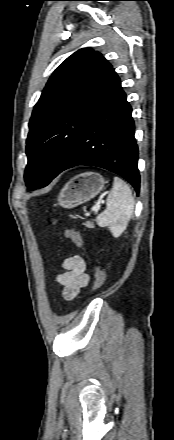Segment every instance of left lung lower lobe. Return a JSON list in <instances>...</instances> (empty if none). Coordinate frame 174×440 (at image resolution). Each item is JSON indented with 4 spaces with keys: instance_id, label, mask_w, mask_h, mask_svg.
I'll return each mask as SVG.
<instances>
[{
    "instance_id": "left-lung-lower-lobe-1",
    "label": "left lung lower lobe",
    "mask_w": 174,
    "mask_h": 440,
    "mask_svg": "<svg viewBox=\"0 0 174 440\" xmlns=\"http://www.w3.org/2000/svg\"><path fill=\"white\" fill-rule=\"evenodd\" d=\"M131 114V106L116 74L109 89L91 110L76 149L60 172L78 165L105 168L124 177L138 194V147Z\"/></svg>"
}]
</instances>
